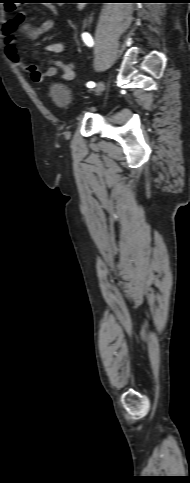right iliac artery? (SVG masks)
<instances>
[{
    "label": "right iliac artery",
    "mask_w": 190,
    "mask_h": 483,
    "mask_svg": "<svg viewBox=\"0 0 190 483\" xmlns=\"http://www.w3.org/2000/svg\"><path fill=\"white\" fill-rule=\"evenodd\" d=\"M82 38H83L84 42H85V43H86L88 46H90V47H91V46L93 45V40H92V37H91V36H90L88 33H83V34H82ZM86 85H87V87H88V88H93V87H95V83H94V82H92V81L88 82Z\"/></svg>",
    "instance_id": "1"
}]
</instances>
